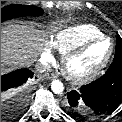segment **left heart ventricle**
I'll return each instance as SVG.
<instances>
[{"label": "left heart ventricle", "instance_id": "left-heart-ventricle-1", "mask_svg": "<svg viewBox=\"0 0 122 122\" xmlns=\"http://www.w3.org/2000/svg\"><path fill=\"white\" fill-rule=\"evenodd\" d=\"M109 49L110 43L108 41L94 44L70 62L69 69L71 73L77 76L89 73L105 59Z\"/></svg>", "mask_w": 122, "mask_h": 122}]
</instances>
